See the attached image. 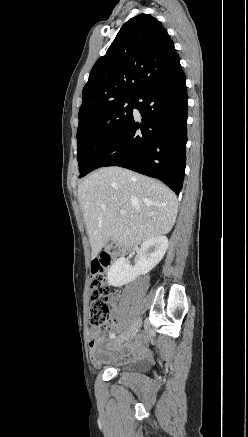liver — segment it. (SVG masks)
<instances>
[{
  "label": "liver",
  "mask_w": 248,
  "mask_h": 437,
  "mask_svg": "<svg viewBox=\"0 0 248 437\" xmlns=\"http://www.w3.org/2000/svg\"><path fill=\"white\" fill-rule=\"evenodd\" d=\"M92 258L112 240L130 248L173 228L178 201L161 182L120 167L100 168L78 185ZM120 210L126 214L121 215Z\"/></svg>",
  "instance_id": "liver-1"
}]
</instances>
